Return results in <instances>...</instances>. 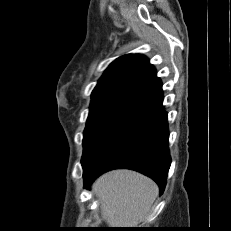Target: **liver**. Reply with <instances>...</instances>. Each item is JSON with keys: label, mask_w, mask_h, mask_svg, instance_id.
Instances as JSON below:
<instances>
[{"label": "liver", "mask_w": 231, "mask_h": 231, "mask_svg": "<svg viewBox=\"0 0 231 231\" xmlns=\"http://www.w3.org/2000/svg\"><path fill=\"white\" fill-rule=\"evenodd\" d=\"M93 191L111 228H136L149 213L159 189L150 178L137 172L115 170L100 176Z\"/></svg>", "instance_id": "liver-1"}]
</instances>
